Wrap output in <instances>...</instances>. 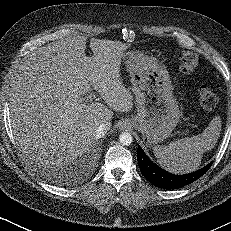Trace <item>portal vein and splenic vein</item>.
<instances>
[{"mask_svg": "<svg viewBox=\"0 0 231 231\" xmlns=\"http://www.w3.org/2000/svg\"><path fill=\"white\" fill-rule=\"evenodd\" d=\"M94 98H95V94L90 93L87 96L81 98L80 101L84 102V103H87V102H89L90 100H92Z\"/></svg>", "mask_w": 231, "mask_h": 231, "instance_id": "1", "label": "portal vein and splenic vein"}]
</instances>
